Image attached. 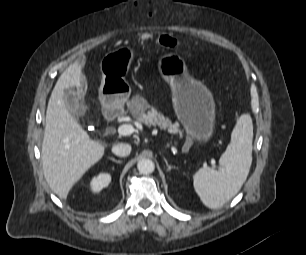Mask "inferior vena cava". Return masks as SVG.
<instances>
[{
    "instance_id": "602c4592",
    "label": "inferior vena cava",
    "mask_w": 306,
    "mask_h": 255,
    "mask_svg": "<svg viewBox=\"0 0 306 255\" xmlns=\"http://www.w3.org/2000/svg\"><path fill=\"white\" fill-rule=\"evenodd\" d=\"M112 152L120 157H126L131 152V145L126 143H117L113 145Z\"/></svg>"
}]
</instances>
